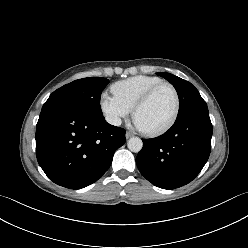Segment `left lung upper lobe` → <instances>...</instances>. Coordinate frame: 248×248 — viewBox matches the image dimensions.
<instances>
[{
  "label": "left lung upper lobe",
  "mask_w": 248,
  "mask_h": 248,
  "mask_svg": "<svg viewBox=\"0 0 248 248\" xmlns=\"http://www.w3.org/2000/svg\"><path fill=\"white\" fill-rule=\"evenodd\" d=\"M156 74L168 80L177 91L180 104L177 119L207 106L198 90L190 82L170 73L159 72Z\"/></svg>",
  "instance_id": "5c2ea615"
}]
</instances>
